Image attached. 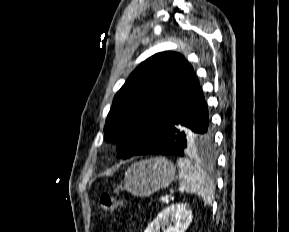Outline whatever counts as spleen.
Here are the masks:
<instances>
[{
    "mask_svg": "<svg viewBox=\"0 0 289 232\" xmlns=\"http://www.w3.org/2000/svg\"><path fill=\"white\" fill-rule=\"evenodd\" d=\"M180 186L186 193L197 194L205 204L210 205L214 198V185L198 163L180 158L177 161Z\"/></svg>",
    "mask_w": 289,
    "mask_h": 232,
    "instance_id": "3e777b00",
    "label": "spleen"
}]
</instances>
